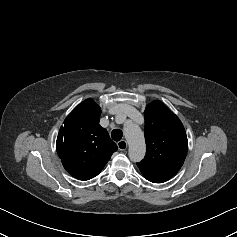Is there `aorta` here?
I'll use <instances>...</instances> for the list:
<instances>
[{
	"instance_id": "aorta-1",
	"label": "aorta",
	"mask_w": 237,
	"mask_h": 237,
	"mask_svg": "<svg viewBox=\"0 0 237 237\" xmlns=\"http://www.w3.org/2000/svg\"><path fill=\"white\" fill-rule=\"evenodd\" d=\"M124 135L129 145V158L133 162H140L146 153L145 139L142 130L138 125L129 123L124 127Z\"/></svg>"
}]
</instances>
